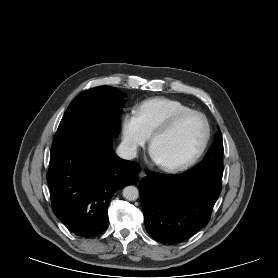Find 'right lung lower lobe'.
I'll use <instances>...</instances> for the list:
<instances>
[{
    "label": "right lung lower lobe",
    "mask_w": 278,
    "mask_h": 278,
    "mask_svg": "<svg viewBox=\"0 0 278 278\" xmlns=\"http://www.w3.org/2000/svg\"><path fill=\"white\" fill-rule=\"evenodd\" d=\"M139 171L113 152L111 136L53 148L47 174L53 211L75 234L95 236L107 228L113 194L136 182Z\"/></svg>",
    "instance_id": "right-lung-lower-lobe-1"
}]
</instances>
